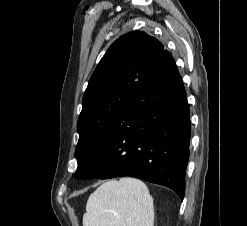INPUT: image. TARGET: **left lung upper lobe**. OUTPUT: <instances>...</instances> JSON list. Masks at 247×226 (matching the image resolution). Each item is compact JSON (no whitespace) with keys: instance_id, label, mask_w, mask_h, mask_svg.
Wrapping results in <instances>:
<instances>
[{"instance_id":"left-lung-upper-lobe-1","label":"left lung upper lobe","mask_w":247,"mask_h":226,"mask_svg":"<svg viewBox=\"0 0 247 226\" xmlns=\"http://www.w3.org/2000/svg\"><path fill=\"white\" fill-rule=\"evenodd\" d=\"M163 50L156 38L132 31L118 38L102 57L89 80L78 118L75 178L80 179L88 157L123 113Z\"/></svg>"}]
</instances>
